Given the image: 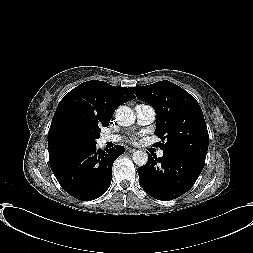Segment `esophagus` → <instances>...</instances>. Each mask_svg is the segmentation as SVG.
I'll use <instances>...</instances> for the list:
<instances>
[{
	"label": "esophagus",
	"instance_id": "obj_1",
	"mask_svg": "<svg viewBox=\"0 0 253 253\" xmlns=\"http://www.w3.org/2000/svg\"><path fill=\"white\" fill-rule=\"evenodd\" d=\"M128 152H130V153H132V152H135L136 151V149L135 148H127L126 149Z\"/></svg>",
	"mask_w": 253,
	"mask_h": 253
}]
</instances>
